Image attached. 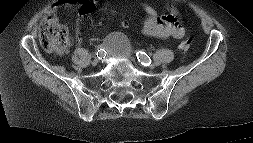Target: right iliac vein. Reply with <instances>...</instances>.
I'll return each instance as SVG.
<instances>
[{"label": "right iliac vein", "mask_w": 253, "mask_h": 143, "mask_svg": "<svg viewBox=\"0 0 253 143\" xmlns=\"http://www.w3.org/2000/svg\"><path fill=\"white\" fill-rule=\"evenodd\" d=\"M97 63H98V60L95 58V59L92 61V65H93V66H96Z\"/></svg>", "instance_id": "63e3f726"}]
</instances>
